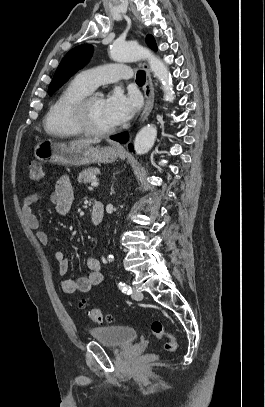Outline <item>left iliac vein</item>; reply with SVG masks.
I'll return each instance as SVG.
<instances>
[{"instance_id": "4c4485c4", "label": "left iliac vein", "mask_w": 265, "mask_h": 407, "mask_svg": "<svg viewBox=\"0 0 265 407\" xmlns=\"http://www.w3.org/2000/svg\"><path fill=\"white\" fill-rule=\"evenodd\" d=\"M131 296L133 299H135L137 301L142 300V298H143L142 292L135 287L133 288V293Z\"/></svg>"}]
</instances>
